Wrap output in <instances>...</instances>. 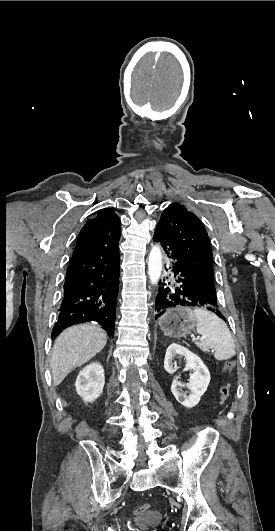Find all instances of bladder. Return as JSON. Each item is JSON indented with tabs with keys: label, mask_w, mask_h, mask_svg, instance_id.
Masks as SVG:
<instances>
[{
	"label": "bladder",
	"mask_w": 275,
	"mask_h": 531,
	"mask_svg": "<svg viewBox=\"0 0 275 531\" xmlns=\"http://www.w3.org/2000/svg\"><path fill=\"white\" fill-rule=\"evenodd\" d=\"M162 513L151 509L146 513H138L137 520L141 523L139 531H154V526L162 522Z\"/></svg>",
	"instance_id": "1"
}]
</instances>
